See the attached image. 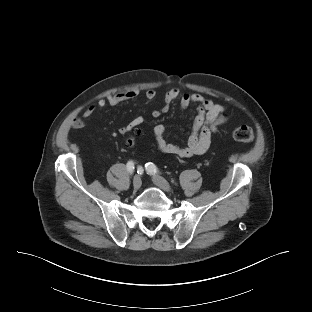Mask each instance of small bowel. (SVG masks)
<instances>
[{"label":"small bowel","instance_id":"small-bowel-1","mask_svg":"<svg viewBox=\"0 0 312 312\" xmlns=\"http://www.w3.org/2000/svg\"><path fill=\"white\" fill-rule=\"evenodd\" d=\"M139 95L137 90H128L109 95L99 100L96 104L88 106L84 112V118H90L96 110H103L107 105L116 106L121 102L135 99ZM147 100H154L156 91L148 89L145 92ZM179 99L180 108L185 110L191 104L197 105V114L193 120L191 134L185 146L170 143L165 139V126L156 124L153 127V135L159 151L178 158H188L193 155L205 153L212 142V137L219 128L227 122L228 116L223 105L199 93H183L177 88H170L164 97V104L160 109L152 111V116L158 118L161 114L169 111L172 103ZM144 123L142 116L133 118L129 123L119 128L122 136L140 127Z\"/></svg>","mask_w":312,"mask_h":312}]
</instances>
